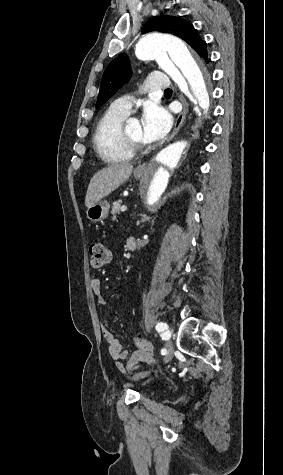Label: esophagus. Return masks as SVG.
Listing matches in <instances>:
<instances>
[{
	"label": "esophagus",
	"instance_id": "obj_1",
	"mask_svg": "<svg viewBox=\"0 0 283 475\" xmlns=\"http://www.w3.org/2000/svg\"><path fill=\"white\" fill-rule=\"evenodd\" d=\"M179 99H180L181 104H182V110H181V112L178 114V116H177V118H176L175 125H174V129H173V131H172L170 137H169L168 140H167L168 142H169L170 140H172V138H174L175 135L178 133V130L180 129V127H181L183 121H184L185 118H186L187 112H188V103H187L185 97H184L182 94H180V95H179ZM145 169H146V164L143 163L142 165H138V167H136L135 171H136V172H142V171H144Z\"/></svg>",
	"mask_w": 283,
	"mask_h": 475
}]
</instances>
